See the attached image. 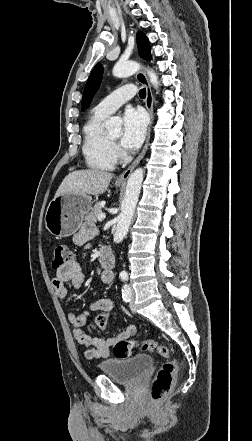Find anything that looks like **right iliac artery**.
I'll return each instance as SVG.
<instances>
[{
  "instance_id": "right-iliac-artery-1",
  "label": "right iliac artery",
  "mask_w": 252,
  "mask_h": 441,
  "mask_svg": "<svg viewBox=\"0 0 252 441\" xmlns=\"http://www.w3.org/2000/svg\"><path fill=\"white\" fill-rule=\"evenodd\" d=\"M122 295H123V300L125 302H129L130 301V297H131V292L130 289L127 285H124V289H122Z\"/></svg>"
}]
</instances>
